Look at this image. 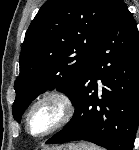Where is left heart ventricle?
Segmentation results:
<instances>
[{
	"mask_svg": "<svg viewBox=\"0 0 139 150\" xmlns=\"http://www.w3.org/2000/svg\"><path fill=\"white\" fill-rule=\"evenodd\" d=\"M61 110L57 103L47 101L39 105L30 119V130L39 135L51 128L60 118Z\"/></svg>",
	"mask_w": 139,
	"mask_h": 150,
	"instance_id": "1",
	"label": "left heart ventricle"
}]
</instances>
